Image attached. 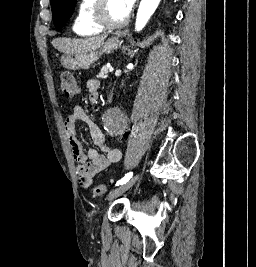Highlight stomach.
Returning a JSON list of instances; mask_svg holds the SVG:
<instances>
[{"label":"stomach","mask_w":256,"mask_h":267,"mask_svg":"<svg viewBox=\"0 0 256 267\" xmlns=\"http://www.w3.org/2000/svg\"><path fill=\"white\" fill-rule=\"evenodd\" d=\"M124 36V32H115L114 36L108 38L99 50H90V52H86V54H76L74 58H69L71 62H60V67H70V70L88 68L90 64H95L102 54H111L113 50H117Z\"/></svg>","instance_id":"0dacf381"}]
</instances>
